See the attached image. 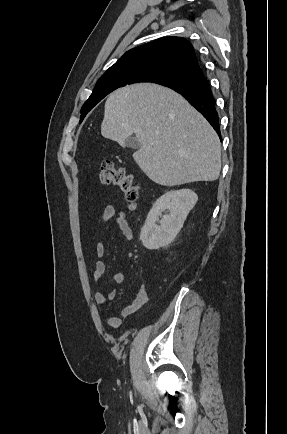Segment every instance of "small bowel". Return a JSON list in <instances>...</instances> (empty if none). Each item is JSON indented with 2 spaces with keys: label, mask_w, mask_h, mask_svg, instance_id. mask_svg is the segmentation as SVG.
I'll use <instances>...</instances> for the list:
<instances>
[{
  "label": "small bowel",
  "mask_w": 287,
  "mask_h": 434,
  "mask_svg": "<svg viewBox=\"0 0 287 434\" xmlns=\"http://www.w3.org/2000/svg\"><path fill=\"white\" fill-rule=\"evenodd\" d=\"M112 220H115L119 230L127 240H131L133 238V231L127 214L124 211L117 210L116 207L113 205H108L103 209V211L96 219V223L101 227H106L109 225V223ZM104 252H105L104 243L103 242L97 243L95 246V254L97 256V260L95 262V266L92 274L93 280L96 283H99L101 281L107 269L106 263L102 259ZM124 278H125V274L122 271H117L112 275V281L116 284H121L124 281ZM116 295H117V291L115 289L110 290L107 296L100 290H97L94 293V300L96 304L100 307V310L106 322L115 329L121 327L122 318H127L135 314L137 311L143 308L148 301V296L144 286H140L136 290L131 304L125 306L121 310L120 317H119V316L109 314L104 308L105 304L108 301L113 300L116 297Z\"/></svg>",
  "instance_id": "small-bowel-1"
}]
</instances>
